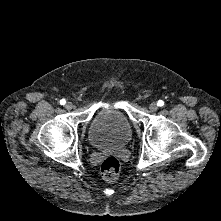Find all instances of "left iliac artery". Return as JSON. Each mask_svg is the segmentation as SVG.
I'll use <instances>...</instances> for the list:
<instances>
[{
    "mask_svg": "<svg viewBox=\"0 0 221 221\" xmlns=\"http://www.w3.org/2000/svg\"><path fill=\"white\" fill-rule=\"evenodd\" d=\"M157 105H158L159 107H162V106L164 105V101L159 100V101L157 102Z\"/></svg>",
    "mask_w": 221,
    "mask_h": 221,
    "instance_id": "obj_1",
    "label": "left iliac artery"
}]
</instances>
